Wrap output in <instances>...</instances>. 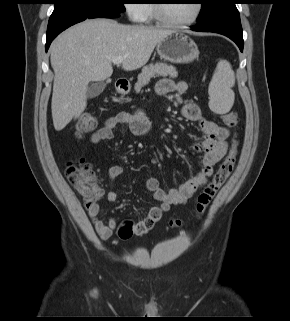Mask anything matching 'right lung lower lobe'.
I'll return each instance as SVG.
<instances>
[{
    "label": "right lung lower lobe",
    "mask_w": 290,
    "mask_h": 321,
    "mask_svg": "<svg viewBox=\"0 0 290 321\" xmlns=\"http://www.w3.org/2000/svg\"><path fill=\"white\" fill-rule=\"evenodd\" d=\"M115 18L119 17V14H114V15H103V16H91V17H86V16H64V17H58V18H53L49 20L48 23V28H47V41H46V52L53 41V39L61 33L63 30L66 28L84 21L87 18Z\"/></svg>",
    "instance_id": "1"
}]
</instances>
